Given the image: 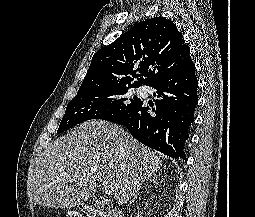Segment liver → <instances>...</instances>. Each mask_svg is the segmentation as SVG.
Returning a JSON list of instances; mask_svg holds the SVG:
<instances>
[{
	"label": "liver",
	"instance_id": "liver-1",
	"mask_svg": "<svg viewBox=\"0 0 255 217\" xmlns=\"http://www.w3.org/2000/svg\"><path fill=\"white\" fill-rule=\"evenodd\" d=\"M162 165L157 152L132 138L120 126L93 120L51 143L31 174L35 204L72 208L91 197L97 183L114 187L117 204L127 203Z\"/></svg>",
	"mask_w": 255,
	"mask_h": 217
}]
</instances>
